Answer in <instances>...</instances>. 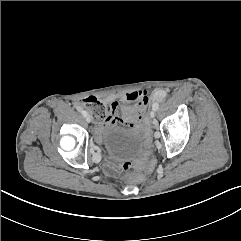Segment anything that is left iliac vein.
Here are the masks:
<instances>
[{
    "mask_svg": "<svg viewBox=\"0 0 241 241\" xmlns=\"http://www.w3.org/2000/svg\"><path fill=\"white\" fill-rule=\"evenodd\" d=\"M150 116H151V118L155 117V110L154 109L150 112Z\"/></svg>",
    "mask_w": 241,
    "mask_h": 241,
    "instance_id": "left-iliac-vein-1",
    "label": "left iliac vein"
}]
</instances>
